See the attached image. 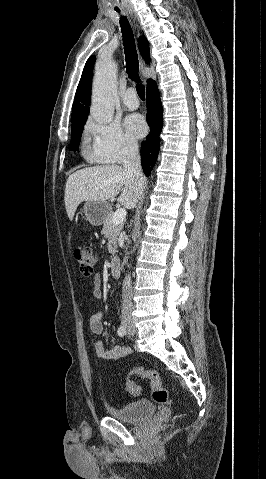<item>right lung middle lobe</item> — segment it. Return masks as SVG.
Wrapping results in <instances>:
<instances>
[{
  "mask_svg": "<svg viewBox=\"0 0 266 479\" xmlns=\"http://www.w3.org/2000/svg\"><path fill=\"white\" fill-rule=\"evenodd\" d=\"M87 119H83L77 122L72 123V134H71V147L72 150H78V146L81 140V134L83 131L84 124Z\"/></svg>",
  "mask_w": 266,
  "mask_h": 479,
  "instance_id": "right-lung-middle-lobe-1",
  "label": "right lung middle lobe"
}]
</instances>
